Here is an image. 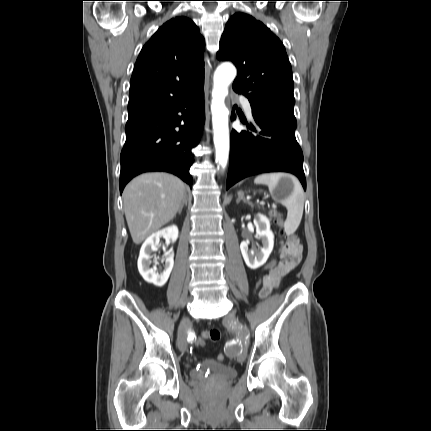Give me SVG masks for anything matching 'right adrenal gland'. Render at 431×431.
I'll return each instance as SVG.
<instances>
[{"label": "right adrenal gland", "instance_id": "1", "mask_svg": "<svg viewBox=\"0 0 431 431\" xmlns=\"http://www.w3.org/2000/svg\"><path fill=\"white\" fill-rule=\"evenodd\" d=\"M184 205H187V194L186 193L184 194L182 203H181L180 208L178 210L179 214L182 212V209H183Z\"/></svg>", "mask_w": 431, "mask_h": 431}]
</instances>
